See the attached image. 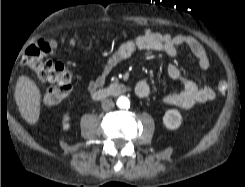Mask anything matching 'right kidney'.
I'll use <instances>...</instances> for the list:
<instances>
[{
  "instance_id": "obj_1",
  "label": "right kidney",
  "mask_w": 245,
  "mask_h": 187,
  "mask_svg": "<svg viewBox=\"0 0 245 187\" xmlns=\"http://www.w3.org/2000/svg\"><path fill=\"white\" fill-rule=\"evenodd\" d=\"M62 125H63L64 131H67L70 129V116H69V114H66L63 116Z\"/></svg>"
}]
</instances>
